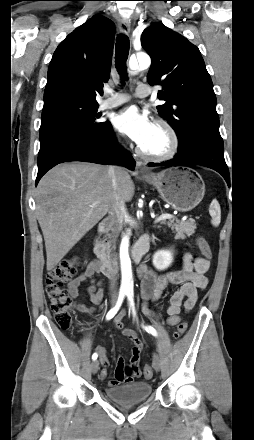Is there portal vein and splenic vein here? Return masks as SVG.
Here are the masks:
<instances>
[{"label":"portal vein and splenic vein","mask_w":254,"mask_h":440,"mask_svg":"<svg viewBox=\"0 0 254 440\" xmlns=\"http://www.w3.org/2000/svg\"><path fill=\"white\" fill-rule=\"evenodd\" d=\"M97 205V203H94V204H92L91 205V207H95ZM172 220V219H175V216L174 215H172V214H169V213H165V214H162L161 216H159L156 220H155V223H158V222H160V221H164V220Z\"/></svg>","instance_id":"1"}]
</instances>
